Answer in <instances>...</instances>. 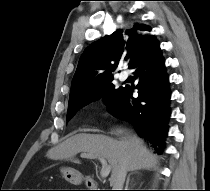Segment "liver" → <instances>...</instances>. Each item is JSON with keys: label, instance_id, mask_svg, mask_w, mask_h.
Returning a JSON list of instances; mask_svg holds the SVG:
<instances>
[{"label": "liver", "instance_id": "6515ba94", "mask_svg": "<svg viewBox=\"0 0 210 191\" xmlns=\"http://www.w3.org/2000/svg\"><path fill=\"white\" fill-rule=\"evenodd\" d=\"M113 132L115 134L125 133V136L121 140H115L99 134H76L51 148L46 156L52 160H71L74 163H80L79 160L74 159L80 152L102 156L111 166L110 183L122 164L127 166L128 171L156 166V157L146 148L142 139L120 128Z\"/></svg>", "mask_w": 210, "mask_h": 191}]
</instances>
